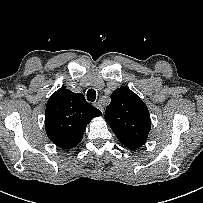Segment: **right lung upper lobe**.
<instances>
[{
	"instance_id": "obj_1",
	"label": "right lung upper lobe",
	"mask_w": 203,
	"mask_h": 203,
	"mask_svg": "<svg viewBox=\"0 0 203 203\" xmlns=\"http://www.w3.org/2000/svg\"><path fill=\"white\" fill-rule=\"evenodd\" d=\"M101 111L80 93L61 87L49 98L45 110V130L49 139L63 149L77 146L87 124Z\"/></svg>"
}]
</instances>
